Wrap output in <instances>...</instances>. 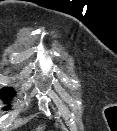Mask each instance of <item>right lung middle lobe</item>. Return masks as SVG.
I'll list each match as a JSON object with an SVG mask.
<instances>
[{"mask_svg": "<svg viewBox=\"0 0 117 131\" xmlns=\"http://www.w3.org/2000/svg\"><path fill=\"white\" fill-rule=\"evenodd\" d=\"M15 95V91L10 87H5L0 91V99L3 101L10 100ZM8 108H5L7 110Z\"/></svg>", "mask_w": 117, "mask_h": 131, "instance_id": "right-lung-middle-lobe-1", "label": "right lung middle lobe"}]
</instances>
